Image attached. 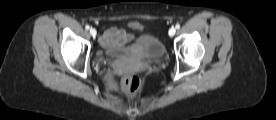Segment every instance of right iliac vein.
Segmentation results:
<instances>
[{"mask_svg": "<svg viewBox=\"0 0 276 120\" xmlns=\"http://www.w3.org/2000/svg\"><path fill=\"white\" fill-rule=\"evenodd\" d=\"M90 34H91L92 36H96V34H97L96 29L91 28V29H90Z\"/></svg>", "mask_w": 276, "mask_h": 120, "instance_id": "obj_1", "label": "right iliac vein"}]
</instances>
